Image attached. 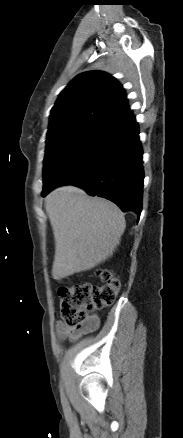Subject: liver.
<instances>
[{
  "label": "liver",
  "mask_w": 183,
  "mask_h": 438,
  "mask_svg": "<svg viewBox=\"0 0 183 438\" xmlns=\"http://www.w3.org/2000/svg\"><path fill=\"white\" fill-rule=\"evenodd\" d=\"M55 239L53 278L90 270L113 255L124 233L123 213L112 202L64 186L45 199Z\"/></svg>",
  "instance_id": "liver-1"
}]
</instances>
